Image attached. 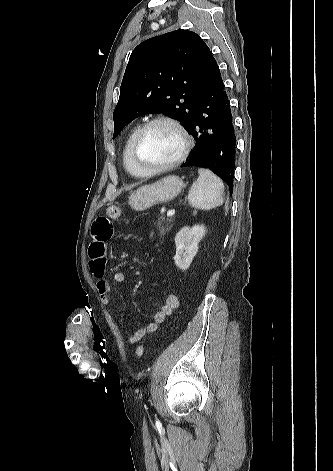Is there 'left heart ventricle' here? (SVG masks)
Here are the masks:
<instances>
[{"mask_svg":"<svg viewBox=\"0 0 333 471\" xmlns=\"http://www.w3.org/2000/svg\"><path fill=\"white\" fill-rule=\"evenodd\" d=\"M181 140L170 125L159 123L147 132L140 157L148 165H161L173 161L180 153Z\"/></svg>","mask_w":333,"mask_h":471,"instance_id":"1","label":"left heart ventricle"}]
</instances>
